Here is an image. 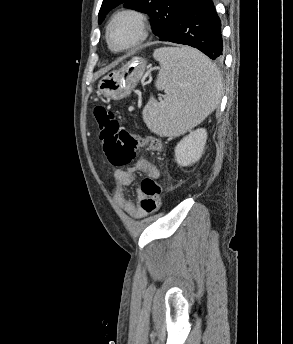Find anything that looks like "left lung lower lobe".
<instances>
[{
	"mask_svg": "<svg viewBox=\"0 0 293 344\" xmlns=\"http://www.w3.org/2000/svg\"><path fill=\"white\" fill-rule=\"evenodd\" d=\"M160 41L189 45L211 59H221V22L212 0H189L171 30Z\"/></svg>",
	"mask_w": 293,
	"mask_h": 344,
	"instance_id": "obj_1",
	"label": "left lung lower lobe"
}]
</instances>
